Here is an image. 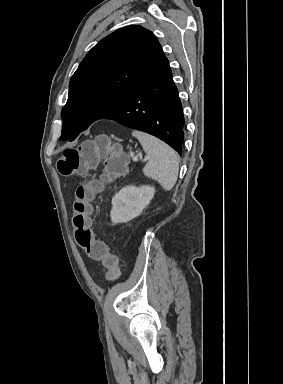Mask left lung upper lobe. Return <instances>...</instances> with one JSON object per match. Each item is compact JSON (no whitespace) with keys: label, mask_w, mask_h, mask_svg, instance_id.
Here are the masks:
<instances>
[{"label":"left lung upper lobe","mask_w":283,"mask_h":384,"mask_svg":"<svg viewBox=\"0 0 283 384\" xmlns=\"http://www.w3.org/2000/svg\"><path fill=\"white\" fill-rule=\"evenodd\" d=\"M164 58L156 36L139 25L103 38L71 77L60 140H74L119 105Z\"/></svg>","instance_id":"5c2ea615"}]
</instances>
